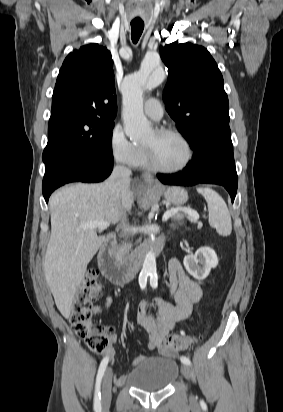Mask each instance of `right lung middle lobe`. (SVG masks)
Masks as SVG:
<instances>
[{"label":"right lung middle lobe","mask_w":283,"mask_h":412,"mask_svg":"<svg viewBox=\"0 0 283 412\" xmlns=\"http://www.w3.org/2000/svg\"><path fill=\"white\" fill-rule=\"evenodd\" d=\"M114 123H103L92 113L70 111L51 116L48 143L42 159L45 164L64 158H104L113 161L112 129Z\"/></svg>","instance_id":"dd1d6c3e"}]
</instances>
